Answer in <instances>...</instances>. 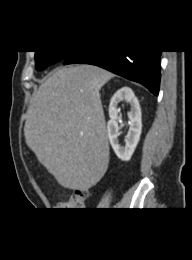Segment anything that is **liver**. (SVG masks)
Wrapping results in <instances>:
<instances>
[{
  "mask_svg": "<svg viewBox=\"0 0 192 260\" xmlns=\"http://www.w3.org/2000/svg\"><path fill=\"white\" fill-rule=\"evenodd\" d=\"M114 75L82 64L57 69L34 95L27 146L63 187L86 191L107 171L109 145L100 89Z\"/></svg>",
  "mask_w": 192,
  "mask_h": 260,
  "instance_id": "6515ba94",
  "label": "liver"
}]
</instances>
